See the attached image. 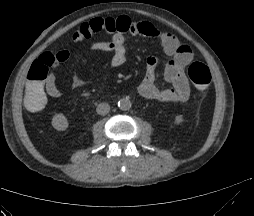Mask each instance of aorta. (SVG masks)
<instances>
[{"instance_id": "aorta-1", "label": "aorta", "mask_w": 254, "mask_h": 216, "mask_svg": "<svg viewBox=\"0 0 254 216\" xmlns=\"http://www.w3.org/2000/svg\"><path fill=\"white\" fill-rule=\"evenodd\" d=\"M132 103L128 98H122L118 102V107L122 111H127L131 108Z\"/></svg>"}]
</instances>
